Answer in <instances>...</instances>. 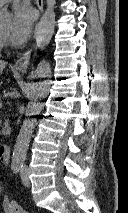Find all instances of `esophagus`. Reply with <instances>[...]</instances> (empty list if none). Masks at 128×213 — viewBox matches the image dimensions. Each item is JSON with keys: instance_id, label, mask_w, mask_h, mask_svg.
I'll return each instance as SVG.
<instances>
[{"instance_id": "1", "label": "esophagus", "mask_w": 128, "mask_h": 213, "mask_svg": "<svg viewBox=\"0 0 128 213\" xmlns=\"http://www.w3.org/2000/svg\"><path fill=\"white\" fill-rule=\"evenodd\" d=\"M38 9L40 12L43 11V0H36ZM31 49L26 51L15 63L14 68L18 70H25L28 68L30 58H31Z\"/></svg>"}]
</instances>
